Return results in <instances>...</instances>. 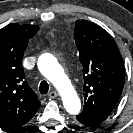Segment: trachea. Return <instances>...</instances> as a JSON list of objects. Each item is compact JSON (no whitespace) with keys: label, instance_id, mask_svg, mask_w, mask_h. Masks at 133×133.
I'll return each mask as SVG.
<instances>
[{"label":"trachea","instance_id":"3493384b","mask_svg":"<svg viewBox=\"0 0 133 133\" xmlns=\"http://www.w3.org/2000/svg\"><path fill=\"white\" fill-rule=\"evenodd\" d=\"M49 90V84L46 81H42L39 86V91L41 94H47Z\"/></svg>","mask_w":133,"mask_h":133}]
</instances>
